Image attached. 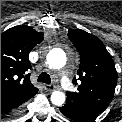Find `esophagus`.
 Returning a JSON list of instances; mask_svg holds the SVG:
<instances>
[{"label":"esophagus","mask_w":122,"mask_h":122,"mask_svg":"<svg viewBox=\"0 0 122 122\" xmlns=\"http://www.w3.org/2000/svg\"><path fill=\"white\" fill-rule=\"evenodd\" d=\"M45 90L52 91L55 89V86L53 84H45L44 85Z\"/></svg>","instance_id":"esophagus-1"}]
</instances>
